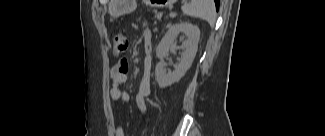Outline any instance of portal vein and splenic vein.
I'll return each instance as SVG.
<instances>
[{"label":"portal vein and splenic vein","instance_id":"18ae733b","mask_svg":"<svg viewBox=\"0 0 325 136\" xmlns=\"http://www.w3.org/2000/svg\"><path fill=\"white\" fill-rule=\"evenodd\" d=\"M175 15H176V13H174V12L170 13V17H174Z\"/></svg>","mask_w":325,"mask_h":136}]
</instances>
